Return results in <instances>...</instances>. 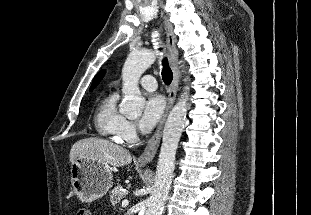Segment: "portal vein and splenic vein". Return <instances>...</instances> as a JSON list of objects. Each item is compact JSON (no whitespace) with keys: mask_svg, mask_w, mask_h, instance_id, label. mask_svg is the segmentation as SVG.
<instances>
[{"mask_svg":"<svg viewBox=\"0 0 311 215\" xmlns=\"http://www.w3.org/2000/svg\"><path fill=\"white\" fill-rule=\"evenodd\" d=\"M129 204L128 200H124L122 202V207H126Z\"/></svg>","mask_w":311,"mask_h":215,"instance_id":"18ae733b","label":"portal vein and splenic vein"}]
</instances>
